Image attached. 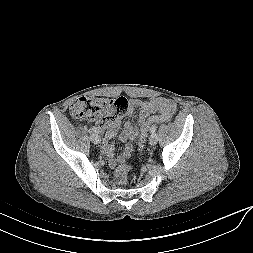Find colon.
I'll return each mask as SVG.
<instances>
[{
  "mask_svg": "<svg viewBox=\"0 0 253 253\" xmlns=\"http://www.w3.org/2000/svg\"><path fill=\"white\" fill-rule=\"evenodd\" d=\"M128 111V101L124 97L116 99L81 97L70 106L71 114L80 119H95L102 129L109 130L113 124ZM159 119H152L140 131L138 140V151L145 150L149 127ZM169 120V119H167ZM129 165H120L115 170L116 181L124 185L127 183Z\"/></svg>",
  "mask_w": 253,
  "mask_h": 253,
  "instance_id": "1",
  "label": "colon"
}]
</instances>
